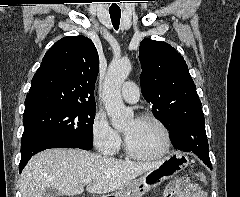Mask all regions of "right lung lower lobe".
<instances>
[{"label": "right lung lower lobe", "instance_id": "obj_1", "mask_svg": "<svg viewBox=\"0 0 240 197\" xmlns=\"http://www.w3.org/2000/svg\"><path fill=\"white\" fill-rule=\"evenodd\" d=\"M50 148H76L73 144L64 142L60 139L44 137L33 138L26 141H21V161L19 165V172L28 162V160L36 153Z\"/></svg>", "mask_w": 240, "mask_h": 197}]
</instances>
